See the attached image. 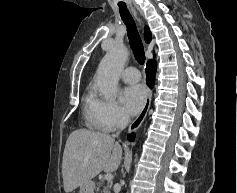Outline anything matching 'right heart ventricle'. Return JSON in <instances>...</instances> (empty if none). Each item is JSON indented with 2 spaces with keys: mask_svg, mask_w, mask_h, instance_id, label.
Wrapping results in <instances>:
<instances>
[{
  "mask_svg": "<svg viewBox=\"0 0 237 193\" xmlns=\"http://www.w3.org/2000/svg\"><path fill=\"white\" fill-rule=\"evenodd\" d=\"M95 101H96V98H95L94 92L92 89H89L83 98L85 117L88 124L91 127L99 129L97 117L94 112Z\"/></svg>",
  "mask_w": 237,
  "mask_h": 193,
  "instance_id": "obj_1",
  "label": "right heart ventricle"
}]
</instances>
